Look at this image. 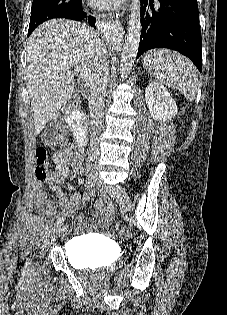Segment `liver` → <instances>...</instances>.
<instances>
[{
	"instance_id": "obj_1",
	"label": "liver",
	"mask_w": 227,
	"mask_h": 315,
	"mask_svg": "<svg viewBox=\"0 0 227 315\" xmlns=\"http://www.w3.org/2000/svg\"><path fill=\"white\" fill-rule=\"evenodd\" d=\"M107 50L86 24L56 19L37 27L27 42L26 79L35 133L55 119L73 97L77 67L90 75ZM74 67V71L72 68Z\"/></svg>"
}]
</instances>
